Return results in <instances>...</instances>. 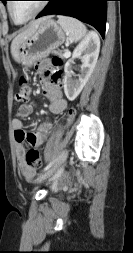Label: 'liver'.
Here are the masks:
<instances>
[{
  "label": "liver",
  "instance_id": "6515ba94",
  "mask_svg": "<svg viewBox=\"0 0 133 253\" xmlns=\"http://www.w3.org/2000/svg\"><path fill=\"white\" fill-rule=\"evenodd\" d=\"M50 19V17H43L40 18L36 21H33L30 23V25L28 26V28L26 30H24L23 32H21L20 34H18L12 41L11 43V54L13 56V58L15 60H17L18 58V50L20 45L27 39L29 38L31 35L34 34V32L37 30V28L39 27V25Z\"/></svg>",
  "mask_w": 133,
  "mask_h": 253
}]
</instances>
